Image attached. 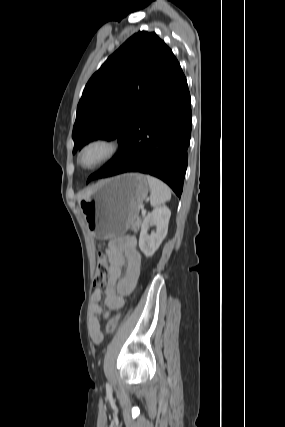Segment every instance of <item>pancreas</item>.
<instances>
[{
    "label": "pancreas",
    "mask_w": 285,
    "mask_h": 427,
    "mask_svg": "<svg viewBox=\"0 0 285 427\" xmlns=\"http://www.w3.org/2000/svg\"><path fill=\"white\" fill-rule=\"evenodd\" d=\"M140 224H141V219L140 218H137L136 220H135V222L132 224V230L133 231H138V229H139V227H140Z\"/></svg>",
    "instance_id": "cf45deb5"
}]
</instances>
